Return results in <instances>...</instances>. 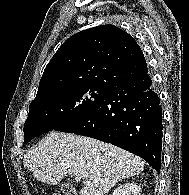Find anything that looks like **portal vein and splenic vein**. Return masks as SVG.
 <instances>
[{
  "mask_svg": "<svg viewBox=\"0 0 189 195\" xmlns=\"http://www.w3.org/2000/svg\"><path fill=\"white\" fill-rule=\"evenodd\" d=\"M75 180H76L77 182L80 181V180H81V176H79V175L75 176ZM83 183H84L85 185H89V184H90L89 181H83Z\"/></svg>",
  "mask_w": 189,
  "mask_h": 195,
  "instance_id": "obj_1",
  "label": "portal vein and splenic vein"
}]
</instances>
